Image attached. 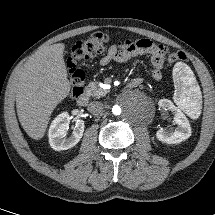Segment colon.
Returning a JSON list of instances; mask_svg holds the SVG:
<instances>
[{
	"label": "colon",
	"instance_id": "5ec220e1",
	"mask_svg": "<svg viewBox=\"0 0 215 215\" xmlns=\"http://www.w3.org/2000/svg\"><path fill=\"white\" fill-rule=\"evenodd\" d=\"M112 41L110 37L102 33H94L87 39L78 41L72 48L71 55L67 60L70 74V96L75 99L83 92V72L77 69L79 60L93 58L106 50L107 45ZM186 59L183 52H172L168 55L169 62H178Z\"/></svg>",
	"mask_w": 215,
	"mask_h": 215
}]
</instances>
